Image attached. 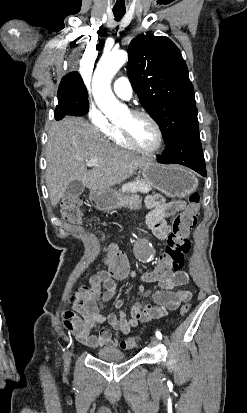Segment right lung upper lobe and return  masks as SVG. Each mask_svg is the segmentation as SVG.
Instances as JSON below:
<instances>
[{
	"label": "right lung upper lobe",
	"instance_id": "obj_1",
	"mask_svg": "<svg viewBox=\"0 0 247 413\" xmlns=\"http://www.w3.org/2000/svg\"><path fill=\"white\" fill-rule=\"evenodd\" d=\"M69 80H82V78L80 74L77 71H75V72H71L65 75L61 81H69Z\"/></svg>",
	"mask_w": 247,
	"mask_h": 413
}]
</instances>
